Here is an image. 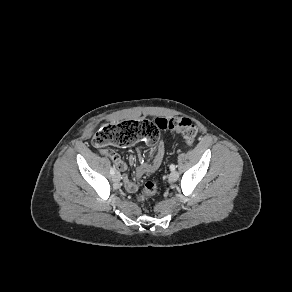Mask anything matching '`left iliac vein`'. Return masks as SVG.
Returning a JSON list of instances; mask_svg holds the SVG:
<instances>
[{"mask_svg":"<svg viewBox=\"0 0 292 292\" xmlns=\"http://www.w3.org/2000/svg\"><path fill=\"white\" fill-rule=\"evenodd\" d=\"M179 177V173L177 171H172L168 177L169 181L175 182Z\"/></svg>","mask_w":292,"mask_h":292,"instance_id":"left-iliac-vein-1","label":"left iliac vein"}]
</instances>
